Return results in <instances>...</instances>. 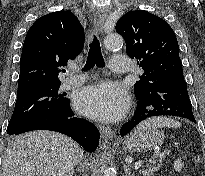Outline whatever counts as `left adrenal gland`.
I'll return each instance as SVG.
<instances>
[{"label": "left adrenal gland", "mask_w": 205, "mask_h": 176, "mask_svg": "<svg viewBox=\"0 0 205 176\" xmlns=\"http://www.w3.org/2000/svg\"><path fill=\"white\" fill-rule=\"evenodd\" d=\"M124 171H125V176H135L134 174H131L130 168L128 167L127 164H124Z\"/></svg>", "instance_id": "obj_1"}]
</instances>
